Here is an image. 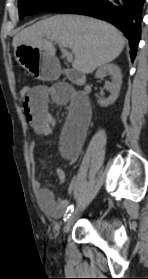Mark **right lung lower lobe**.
<instances>
[{"mask_svg":"<svg viewBox=\"0 0 148 279\" xmlns=\"http://www.w3.org/2000/svg\"><path fill=\"white\" fill-rule=\"evenodd\" d=\"M144 2L145 0H81L60 12L93 16L114 24L129 39L133 61L141 37Z\"/></svg>","mask_w":148,"mask_h":279,"instance_id":"1","label":"right lung lower lobe"}]
</instances>
